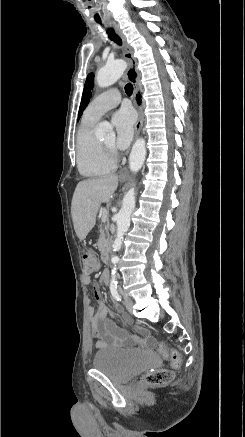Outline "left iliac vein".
Instances as JSON below:
<instances>
[{
  "label": "left iliac vein",
  "mask_w": 245,
  "mask_h": 437,
  "mask_svg": "<svg viewBox=\"0 0 245 437\" xmlns=\"http://www.w3.org/2000/svg\"><path fill=\"white\" fill-rule=\"evenodd\" d=\"M121 294L124 297V304H125L126 309L130 313H132V310H133V301H132L131 297L127 293H125L123 291H121Z\"/></svg>",
  "instance_id": "left-iliac-vein-1"
}]
</instances>
